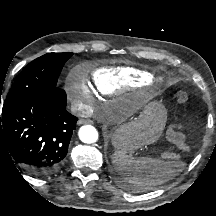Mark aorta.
Listing matches in <instances>:
<instances>
[{"instance_id":"762f6f07","label":"aorta","mask_w":216,"mask_h":216,"mask_svg":"<svg viewBox=\"0 0 216 216\" xmlns=\"http://www.w3.org/2000/svg\"><path fill=\"white\" fill-rule=\"evenodd\" d=\"M79 138L82 142L91 144L98 140L99 135L95 127L84 125L79 130Z\"/></svg>"}]
</instances>
